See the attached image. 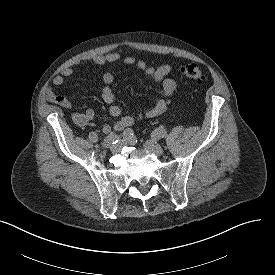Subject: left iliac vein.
I'll use <instances>...</instances> for the list:
<instances>
[{
	"label": "left iliac vein",
	"mask_w": 275,
	"mask_h": 275,
	"mask_svg": "<svg viewBox=\"0 0 275 275\" xmlns=\"http://www.w3.org/2000/svg\"><path fill=\"white\" fill-rule=\"evenodd\" d=\"M143 147L145 150L157 155V156H162L164 154V150L161 147V145L155 141V140H147L144 144Z\"/></svg>",
	"instance_id": "1"
}]
</instances>
